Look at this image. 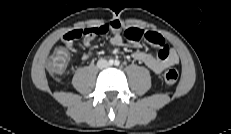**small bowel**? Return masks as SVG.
<instances>
[{"label": "small bowel", "instance_id": "obj_1", "mask_svg": "<svg viewBox=\"0 0 231 134\" xmlns=\"http://www.w3.org/2000/svg\"><path fill=\"white\" fill-rule=\"evenodd\" d=\"M112 32L109 43L112 46H123L127 43L137 45L141 39H145L149 44L157 48L155 52L135 50L132 57L156 74L163 72L166 68L178 64L179 57L174 48L164 39L162 35L153 31H143L137 27H127L122 33V25L118 20L109 24H104L95 28L76 29L67 32L63 36L65 46L71 51L76 52L77 48L74 41L83 38V44L90 47L97 36ZM90 52L81 54L82 60H88L91 57Z\"/></svg>", "mask_w": 231, "mask_h": 134}]
</instances>
